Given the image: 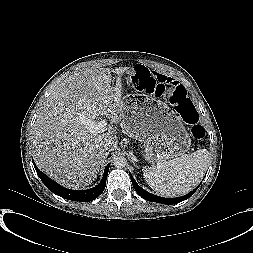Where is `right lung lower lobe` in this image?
I'll use <instances>...</instances> for the list:
<instances>
[{
  "label": "right lung lower lobe",
  "mask_w": 253,
  "mask_h": 253,
  "mask_svg": "<svg viewBox=\"0 0 253 253\" xmlns=\"http://www.w3.org/2000/svg\"><path fill=\"white\" fill-rule=\"evenodd\" d=\"M33 165L40 179L51 192L68 200L84 201V202H88V201H92L96 199L104 191L105 186H106V179H107V175L109 171V166H110V164L106 166L101 182L94 188L87 189V190H70V189L60 186L51 178H49L47 175H45L43 172H41L35 165L34 161H33Z\"/></svg>",
  "instance_id": "obj_1"
}]
</instances>
